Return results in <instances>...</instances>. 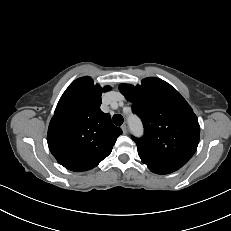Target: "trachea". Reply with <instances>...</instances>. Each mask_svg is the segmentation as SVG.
Listing matches in <instances>:
<instances>
[{
  "instance_id": "3493384b",
  "label": "trachea",
  "mask_w": 231,
  "mask_h": 231,
  "mask_svg": "<svg viewBox=\"0 0 231 231\" xmlns=\"http://www.w3.org/2000/svg\"><path fill=\"white\" fill-rule=\"evenodd\" d=\"M112 120H113V123H114L116 126H121V125L123 124V121H124L122 115H120V114H115V115L113 116Z\"/></svg>"
}]
</instances>
